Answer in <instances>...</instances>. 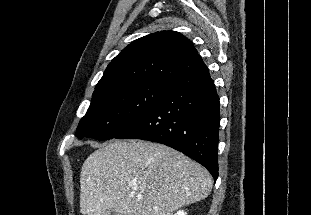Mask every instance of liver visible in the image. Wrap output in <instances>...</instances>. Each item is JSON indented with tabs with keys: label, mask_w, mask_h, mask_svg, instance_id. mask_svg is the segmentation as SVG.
I'll list each match as a JSON object with an SVG mask.
<instances>
[{
	"label": "liver",
	"mask_w": 311,
	"mask_h": 215,
	"mask_svg": "<svg viewBox=\"0 0 311 215\" xmlns=\"http://www.w3.org/2000/svg\"><path fill=\"white\" fill-rule=\"evenodd\" d=\"M83 215H172L206 198L210 173L162 144L115 140L95 150L80 175Z\"/></svg>",
	"instance_id": "6515ba94"
}]
</instances>
